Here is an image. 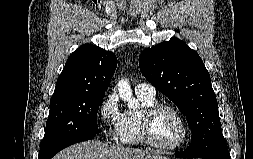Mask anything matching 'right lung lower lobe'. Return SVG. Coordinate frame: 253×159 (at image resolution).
<instances>
[{"mask_svg": "<svg viewBox=\"0 0 253 159\" xmlns=\"http://www.w3.org/2000/svg\"><path fill=\"white\" fill-rule=\"evenodd\" d=\"M96 134H87V135H83V136H79L77 138H73L71 140H68L60 145H58L57 147H55L53 150H51L45 157H43L42 159H51L56 153H58L59 151H61L62 149H64L65 147H68L74 143L77 142H81V141H86L89 139H92L95 137Z\"/></svg>", "mask_w": 253, "mask_h": 159, "instance_id": "obj_1", "label": "right lung lower lobe"}]
</instances>
